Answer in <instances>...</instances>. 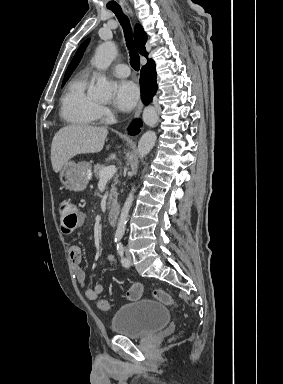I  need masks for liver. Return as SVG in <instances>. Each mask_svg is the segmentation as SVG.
I'll return each instance as SVG.
<instances>
[{"label":"liver","mask_w":283,"mask_h":384,"mask_svg":"<svg viewBox=\"0 0 283 384\" xmlns=\"http://www.w3.org/2000/svg\"><path fill=\"white\" fill-rule=\"evenodd\" d=\"M108 130L87 124H70L55 134L51 146L52 168L56 174L77 154H97L103 150ZM109 146H107L108 150Z\"/></svg>","instance_id":"liver-1"}]
</instances>
